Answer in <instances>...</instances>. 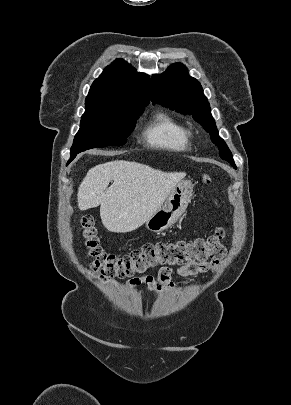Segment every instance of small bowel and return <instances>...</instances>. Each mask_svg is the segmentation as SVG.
<instances>
[{
    "label": "small bowel",
    "instance_id": "c3829d8e",
    "mask_svg": "<svg viewBox=\"0 0 291 405\" xmlns=\"http://www.w3.org/2000/svg\"><path fill=\"white\" fill-rule=\"evenodd\" d=\"M219 260H213L203 263H192L187 266H182L177 269V274L181 277H189L198 273H206L214 270L219 266ZM172 270L169 267L160 269L156 276L146 275L141 277H134L128 281L129 287H136L146 285L148 289L156 294L172 292L174 290V283L171 278Z\"/></svg>",
    "mask_w": 291,
    "mask_h": 405
}]
</instances>
